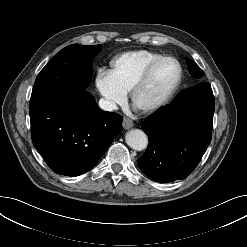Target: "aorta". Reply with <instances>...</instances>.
<instances>
[{"label": "aorta", "instance_id": "1", "mask_svg": "<svg viewBox=\"0 0 247 247\" xmlns=\"http://www.w3.org/2000/svg\"><path fill=\"white\" fill-rule=\"evenodd\" d=\"M125 140L129 147L137 151L144 150L148 144L147 135L139 129H133L127 132Z\"/></svg>", "mask_w": 247, "mask_h": 247}]
</instances>
